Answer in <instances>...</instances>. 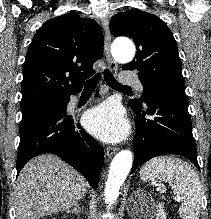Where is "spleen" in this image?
Listing matches in <instances>:
<instances>
[{
    "mask_svg": "<svg viewBox=\"0 0 211 219\" xmlns=\"http://www.w3.org/2000/svg\"><path fill=\"white\" fill-rule=\"evenodd\" d=\"M140 177L143 181L158 178L168 182L174 193L183 196L180 217L199 219L202 189L198 174L188 163L173 156L154 158L141 167Z\"/></svg>",
    "mask_w": 211,
    "mask_h": 219,
    "instance_id": "3e777b00",
    "label": "spleen"
}]
</instances>
